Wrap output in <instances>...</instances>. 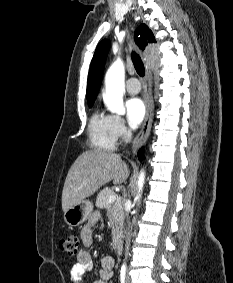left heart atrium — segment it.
<instances>
[{
	"label": "left heart atrium",
	"mask_w": 233,
	"mask_h": 283,
	"mask_svg": "<svg viewBox=\"0 0 233 283\" xmlns=\"http://www.w3.org/2000/svg\"><path fill=\"white\" fill-rule=\"evenodd\" d=\"M126 116L131 127H138L146 113L145 104L140 98H130L125 103Z\"/></svg>",
	"instance_id": "1"
}]
</instances>
